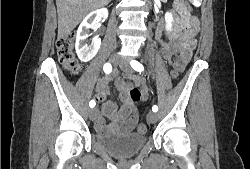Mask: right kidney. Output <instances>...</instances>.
Wrapping results in <instances>:
<instances>
[{
    "mask_svg": "<svg viewBox=\"0 0 250 169\" xmlns=\"http://www.w3.org/2000/svg\"><path fill=\"white\" fill-rule=\"evenodd\" d=\"M93 14H95V16H93ZM107 16L108 8H96L93 12H89L84 20H82L81 24H79L75 48L78 58H80L82 62L91 60V58L97 54L101 46V38H99V36H93L91 44H87L86 38L87 36H91V34H88L89 28H97V26H100V20H102V18H107Z\"/></svg>",
    "mask_w": 250,
    "mask_h": 169,
    "instance_id": "right-kidney-1",
    "label": "right kidney"
}]
</instances>
